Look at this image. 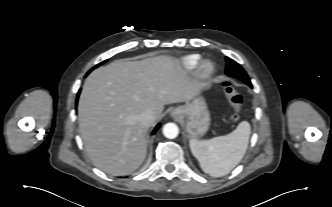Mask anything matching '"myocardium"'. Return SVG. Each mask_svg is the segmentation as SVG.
I'll return each mask as SVG.
<instances>
[{"label":"myocardium","instance_id":"f54148a6","mask_svg":"<svg viewBox=\"0 0 332 207\" xmlns=\"http://www.w3.org/2000/svg\"><path fill=\"white\" fill-rule=\"evenodd\" d=\"M199 73L202 77H209L214 70V63L211 60H204L199 65Z\"/></svg>","mask_w":332,"mask_h":207}]
</instances>
